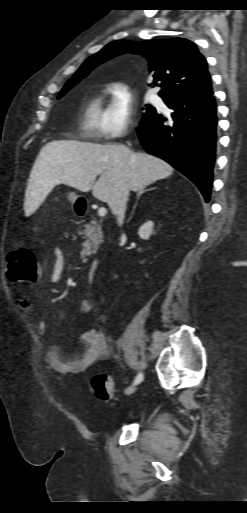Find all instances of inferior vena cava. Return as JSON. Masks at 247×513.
Returning <instances> with one entry per match:
<instances>
[{
	"label": "inferior vena cava",
	"instance_id": "inferior-vena-cava-1",
	"mask_svg": "<svg viewBox=\"0 0 247 513\" xmlns=\"http://www.w3.org/2000/svg\"><path fill=\"white\" fill-rule=\"evenodd\" d=\"M130 188L128 186H123L120 189V192L117 195V199L112 207V210L117 215L118 224H122L124 220V214L126 209V203L128 201Z\"/></svg>",
	"mask_w": 247,
	"mask_h": 513
}]
</instances>
